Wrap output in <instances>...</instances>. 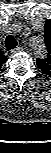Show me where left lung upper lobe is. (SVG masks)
<instances>
[{"instance_id": "left-lung-upper-lobe-1", "label": "left lung upper lobe", "mask_w": 51, "mask_h": 153, "mask_svg": "<svg viewBox=\"0 0 51 153\" xmlns=\"http://www.w3.org/2000/svg\"><path fill=\"white\" fill-rule=\"evenodd\" d=\"M44 30L47 55L44 58H38L36 63L45 75L51 77V20H47L44 26Z\"/></svg>"}]
</instances>
